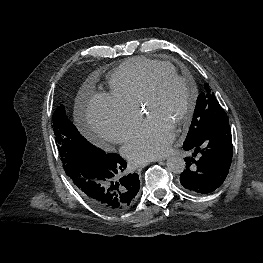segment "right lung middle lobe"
Returning <instances> with one entry per match:
<instances>
[{"label":"right lung middle lobe","mask_w":263,"mask_h":263,"mask_svg":"<svg viewBox=\"0 0 263 263\" xmlns=\"http://www.w3.org/2000/svg\"><path fill=\"white\" fill-rule=\"evenodd\" d=\"M53 131L56 144L68 174L75 164L85 158H102L104 151L89 143L77 130L75 125L66 116L65 108L60 105L53 114Z\"/></svg>","instance_id":"right-lung-middle-lobe-1"}]
</instances>
